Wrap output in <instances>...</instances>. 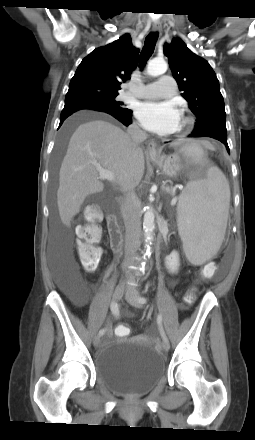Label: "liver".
<instances>
[{
	"label": "liver",
	"mask_w": 255,
	"mask_h": 440,
	"mask_svg": "<svg viewBox=\"0 0 255 440\" xmlns=\"http://www.w3.org/2000/svg\"><path fill=\"white\" fill-rule=\"evenodd\" d=\"M182 142H174L173 147ZM195 145V144H193ZM98 167L111 171L121 191L139 185L145 168L143 150L121 128L104 120L82 123L71 136L59 171L57 205L61 221L70 226L88 195L102 192Z\"/></svg>",
	"instance_id": "liver-1"
}]
</instances>
